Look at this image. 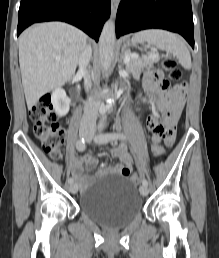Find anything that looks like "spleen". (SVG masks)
<instances>
[{
    "mask_svg": "<svg viewBox=\"0 0 219 258\" xmlns=\"http://www.w3.org/2000/svg\"><path fill=\"white\" fill-rule=\"evenodd\" d=\"M147 43L144 47H154L175 55L185 69L191 68V56L184 41L176 34L161 29H149L137 32L132 37V43Z\"/></svg>",
    "mask_w": 219,
    "mask_h": 258,
    "instance_id": "1",
    "label": "spleen"
}]
</instances>
